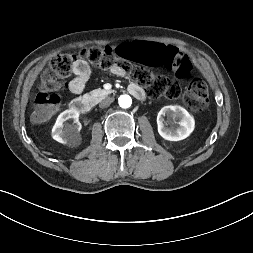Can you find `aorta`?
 Segmentation results:
<instances>
[{
	"label": "aorta",
	"mask_w": 253,
	"mask_h": 253,
	"mask_svg": "<svg viewBox=\"0 0 253 253\" xmlns=\"http://www.w3.org/2000/svg\"><path fill=\"white\" fill-rule=\"evenodd\" d=\"M118 103L122 108H129L132 104V99L129 95H121L118 99Z\"/></svg>",
	"instance_id": "762f6f07"
}]
</instances>
